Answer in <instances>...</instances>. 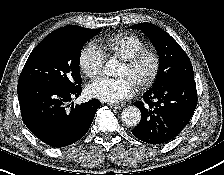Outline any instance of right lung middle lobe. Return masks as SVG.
I'll list each match as a JSON object with an SVG mask.
<instances>
[{
    "instance_id": "1",
    "label": "right lung middle lobe",
    "mask_w": 224,
    "mask_h": 175,
    "mask_svg": "<svg viewBox=\"0 0 224 175\" xmlns=\"http://www.w3.org/2000/svg\"><path fill=\"white\" fill-rule=\"evenodd\" d=\"M100 29L76 26L48 34L31 52L19 83L42 82L71 89L80 86V56L83 45Z\"/></svg>"
}]
</instances>
